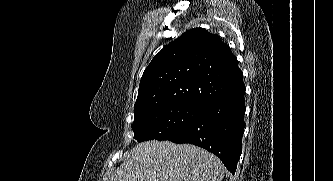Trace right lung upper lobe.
Returning a JSON list of instances; mask_svg holds the SVG:
<instances>
[{"label": "right lung upper lobe", "instance_id": "cb5924a9", "mask_svg": "<svg viewBox=\"0 0 333 181\" xmlns=\"http://www.w3.org/2000/svg\"><path fill=\"white\" fill-rule=\"evenodd\" d=\"M229 46L216 34L194 28L163 48L145 69L134 110L165 104L202 106L245 89Z\"/></svg>", "mask_w": 333, "mask_h": 181}]
</instances>
